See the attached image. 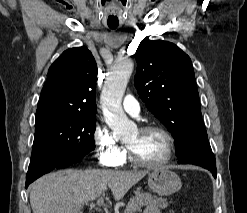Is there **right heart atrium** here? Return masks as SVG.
<instances>
[{
    "label": "right heart atrium",
    "mask_w": 247,
    "mask_h": 213,
    "mask_svg": "<svg viewBox=\"0 0 247 213\" xmlns=\"http://www.w3.org/2000/svg\"><path fill=\"white\" fill-rule=\"evenodd\" d=\"M92 139L98 159L103 166L121 165L125 158V149L115 140L106 125L98 123L93 130Z\"/></svg>",
    "instance_id": "d8ad5b80"
}]
</instances>
